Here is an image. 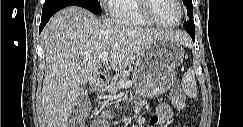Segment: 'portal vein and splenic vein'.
I'll return each instance as SVG.
<instances>
[{
    "label": "portal vein and splenic vein",
    "instance_id": "obj_1",
    "mask_svg": "<svg viewBox=\"0 0 243 127\" xmlns=\"http://www.w3.org/2000/svg\"><path fill=\"white\" fill-rule=\"evenodd\" d=\"M108 52H103L102 54H100V56H99V59L102 61V62H104V61H106L107 59H108ZM131 85V82L130 81H127L126 83H125V87H127V86H130Z\"/></svg>",
    "mask_w": 243,
    "mask_h": 127
}]
</instances>
